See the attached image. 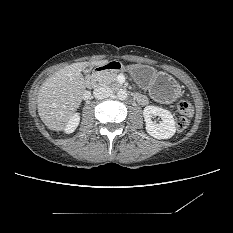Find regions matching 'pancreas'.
<instances>
[{
    "instance_id": "obj_1",
    "label": "pancreas",
    "mask_w": 233,
    "mask_h": 233,
    "mask_svg": "<svg viewBox=\"0 0 233 233\" xmlns=\"http://www.w3.org/2000/svg\"><path fill=\"white\" fill-rule=\"evenodd\" d=\"M117 73L112 71H103L98 75L100 84L113 85L114 87H120L121 85L117 82Z\"/></svg>"
}]
</instances>
